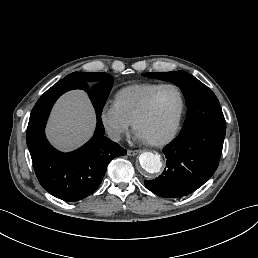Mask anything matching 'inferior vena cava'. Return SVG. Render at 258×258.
Here are the masks:
<instances>
[{
	"mask_svg": "<svg viewBox=\"0 0 258 258\" xmlns=\"http://www.w3.org/2000/svg\"><path fill=\"white\" fill-rule=\"evenodd\" d=\"M107 134H108V137L110 139H112L113 141H119L121 139L119 131H117L115 129L108 128L107 129Z\"/></svg>",
	"mask_w": 258,
	"mask_h": 258,
	"instance_id": "obj_1",
	"label": "inferior vena cava"
}]
</instances>
